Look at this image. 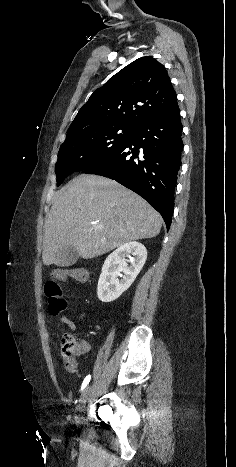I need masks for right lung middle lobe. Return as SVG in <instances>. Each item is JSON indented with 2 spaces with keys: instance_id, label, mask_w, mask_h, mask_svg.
Instances as JSON below:
<instances>
[{
  "instance_id": "right-lung-middle-lobe-1",
  "label": "right lung middle lobe",
  "mask_w": 236,
  "mask_h": 467,
  "mask_svg": "<svg viewBox=\"0 0 236 467\" xmlns=\"http://www.w3.org/2000/svg\"><path fill=\"white\" fill-rule=\"evenodd\" d=\"M133 127L115 125L67 135L55 166L57 185L73 172L90 168L118 150L132 135Z\"/></svg>"
}]
</instances>
